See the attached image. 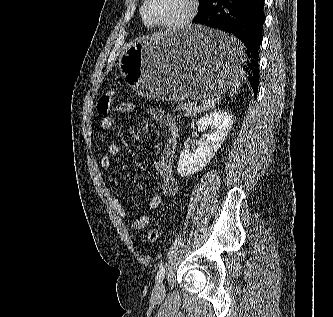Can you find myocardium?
Instances as JSON below:
<instances>
[{
	"instance_id": "f54148a6",
	"label": "myocardium",
	"mask_w": 333,
	"mask_h": 317,
	"mask_svg": "<svg viewBox=\"0 0 333 317\" xmlns=\"http://www.w3.org/2000/svg\"><path fill=\"white\" fill-rule=\"evenodd\" d=\"M149 2L150 0H144L141 7V15L142 18L149 25V27H154V28L171 29V30L182 29L186 27L194 19L198 10L197 0H184L186 4V10L180 18L170 22H160L153 20L148 16L147 8Z\"/></svg>"
}]
</instances>
